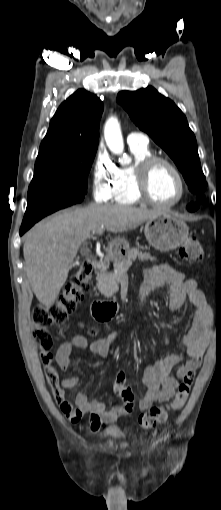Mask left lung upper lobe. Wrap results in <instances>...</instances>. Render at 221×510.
<instances>
[{
  "mask_svg": "<svg viewBox=\"0 0 221 510\" xmlns=\"http://www.w3.org/2000/svg\"><path fill=\"white\" fill-rule=\"evenodd\" d=\"M117 102L134 123L167 152L189 189L203 199L207 182L201 169L196 138L182 111L151 86L137 91H121Z\"/></svg>",
  "mask_w": 221,
  "mask_h": 510,
  "instance_id": "1",
  "label": "left lung upper lobe"
}]
</instances>
